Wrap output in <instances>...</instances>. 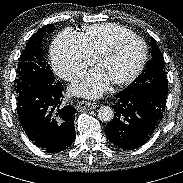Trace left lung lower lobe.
<instances>
[{"label":"left lung lower lobe","instance_id":"left-lung-lower-lobe-1","mask_svg":"<svg viewBox=\"0 0 183 183\" xmlns=\"http://www.w3.org/2000/svg\"><path fill=\"white\" fill-rule=\"evenodd\" d=\"M115 117L105 127L107 139L116 147L133 150L146 143L158 128L165 104L144 96L118 93Z\"/></svg>","mask_w":183,"mask_h":183}]
</instances>
